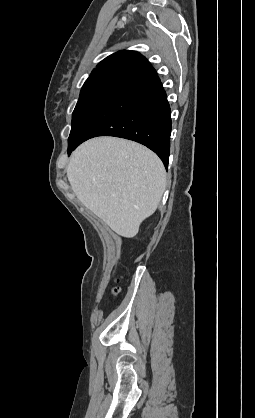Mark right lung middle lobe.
I'll return each instance as SVG.
<instances>
[{
	"label": "right lung middle lobe",
	"mask_w": 255,
	"mask_h": 418,
	"mask_svg": "<svg viewBox=\"0 0 255 418\" xmlns=\"http://www.w3.org/2000/svg\"><path fill=\"white\" fill-rule=\"evenodd\" d=\"M124 88V86L109 83L83 85L72 115V128L68 138V146L79 138L94 115Z\"/></svg>",
	"instance_id": "right-lung-middle-lobe-1"
}]
</instances>
